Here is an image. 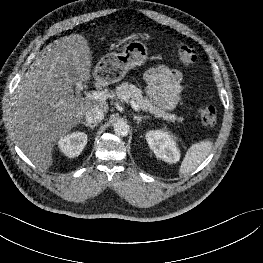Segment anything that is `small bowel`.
<instances>
[{"label": "small bowel", "mask_w": 263, "mask_h": 263, "mask_svg": "<svg viewBox=\"0 0 263 263\" xmlns=\"http://www.w3.org/2000/svg\"><path fill=\"white\" fill-rule=\"evenodd\" d=\"M148 95L161 107L172 109L183 97V75L177 69L156 66L145 74Z\"/></svg>", "instance_id": "1"}]
</instances>
